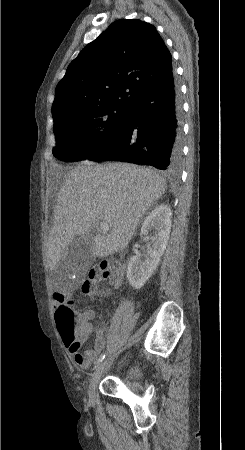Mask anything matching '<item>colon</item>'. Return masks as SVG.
<instances>
[{
	"label": "colon",
	"mask_w": 245,
	"mask_h": 450,
	"mask_svg": "<svg viewBox=\"0 0 245 450\" xmlns=\"http://www.w3.org/2000/svg\"><path fill=\"white\" fill-rule=\"evenodd\" d=\"M125 268L126 263L122 260H113L98 266L88 274L82 289L87 292L97 282L111 280L112 278L119 279L123 277ZM54 298L61 302L55 313V325L58 333L65 343H75L78 345L80 339H85L89 335L88 323L76 317L72 307V301H66L63 294L57 293L54 295ZM77 360L81 362L82 357L78 356Z\"/></svg>",
	"instance_id": "1"
}]
</instances>
